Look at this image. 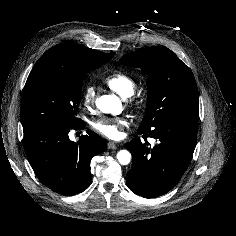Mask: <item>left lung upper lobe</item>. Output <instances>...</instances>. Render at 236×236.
Instances as JSON below:
<instances>
[{"label": "left lung upper lobe", "instance_id": "left-lung-upper-lobe-1", "mask_svg": "<svg viewBox=\"0 0 236 236\" xmlns=\"http://www.w3.org/2000/svg\"><path fill=\"white\" fill-rule=\"evenodd\" d=\"M120 64L148 74L146 114L138 128L151 129L170 119L198 121V89L192 71L166 47H147L124 55Z\"/></svg>", "mask_w": 236, "mask_h": 236}]
</instances>
